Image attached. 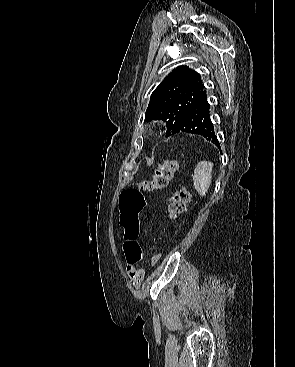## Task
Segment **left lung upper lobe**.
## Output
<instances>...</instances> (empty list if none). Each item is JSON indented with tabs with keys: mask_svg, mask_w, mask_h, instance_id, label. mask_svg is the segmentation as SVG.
<instances>
[{
	"mask_svg": "<svg viewBox=\"0 0 295 367\" xmlns=\"http://www.w3.org/2000/svg\"><path fill=\"white\" fill-rule=\"evenodd\" d=\"M203 92L200 74L180 66L153 91L146 110V120L166 121V136H170Z\"/></svg>",
	"mask_w": 295,
	"mask_h": 367,
	"instance_id": "left-lung-upper-lobe-1",
	"label": "left lung upper lobe"
}]
</instances>
